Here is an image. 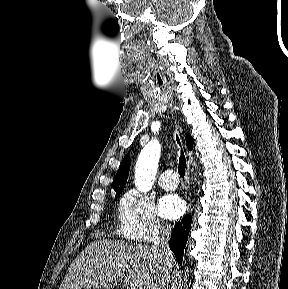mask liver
Instances as JSON below:
<instances>
[{"label":"liver","mask_w":288,"mask_h":289,"mask_svg":"<svg viewBox=\"0 0 288 289\" xmlns=\"http://www.w3.org/2000/svg\"><path fill=\"white\" fill-rule=\"evenodd\" d=\"M152 247L108 239L91 242L70 264L59 289H166L172 269ZM126 272V275H125Z\"/></svg>","instance_id":"liver-1"}]
</instances>
